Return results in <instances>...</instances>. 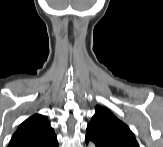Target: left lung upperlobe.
<instances>
[{
  "label": "left lung upper lobe",
  "instance_id": "1",
  "mask_svg": "<svg viewBox=\"0 0 163 147\" xmlns=\"http://www.w3.org/2000/svg\"><path fill=\"white\" fill-rule=\"evenodd\" d=\"M87 135L101 142L139 147L129 127L101 106L96 107L95 115L87 126Z\"/></svg>",
  "mask_w": 163,
  "mask_h": 147
}]
</instances>
